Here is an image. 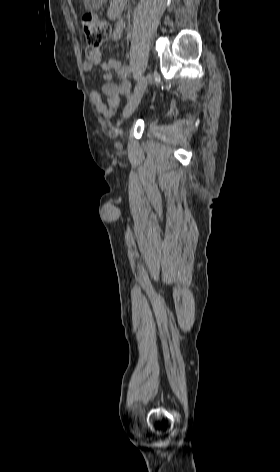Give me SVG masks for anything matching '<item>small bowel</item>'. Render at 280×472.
Returning <instances> with one entry per match:
<instances>
[{"mask_svg": "<svg viewBox=\"0 0 280 472\" xmlns=\"http://www.w3.org/2000/svg\"><path fill=\"white\" fill-rule=\"evenodd\" d=\"M121 29V25L116 27L112 35L113 41L120 38ZM95 66L101 67L104 71L102 94L105 96V101L103 100L102 94L96 89L91 90L90 99L97 111L108 118L112 115V109L118 104L120 96L129 89L127 85H118L111 81L112 72H120L122 69L120 62L116 60L103 61L100 52L97 51L87 56V59L82 64V68L85 72H90Z\"/></svg>", "mask_w": 280, "mask_h": 472, "instance_id": "1", "label": "small bowel"}]
</instances>
